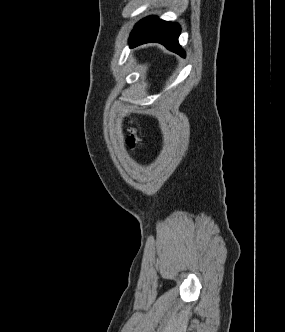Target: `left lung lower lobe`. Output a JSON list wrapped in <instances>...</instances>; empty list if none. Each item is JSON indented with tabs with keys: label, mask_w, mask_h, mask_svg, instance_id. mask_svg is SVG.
<instances>
[{
	"label": "left lung lower lobe",
	"mask_w": 285,
	"mask_h": 332,
	"mask_svg": "<svg viewBox=\"0 0 285 332\" xmlns=\"http://www.w3.org/2000/svg\"><path fill=\"white\" fill-rule=\"evenodd\" d=\"M180 26L177 23L158 19L156 16L147 17L136 24L130 36V47L143 43L158 42L167 49L185 57L184 50L178 43Z\"/></svg>",
	"instance_id": "1"
}]
</instances>
